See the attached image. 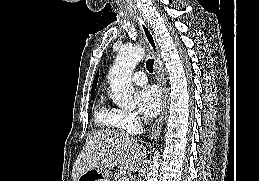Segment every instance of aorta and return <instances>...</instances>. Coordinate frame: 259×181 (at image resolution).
I'll return each instance as SVG.
<instances>
[{
	"instance_id": "1",
	"label": "aorta",
	"mask_w": 259,
	"mask_h": 181,
	"mask_svg": "<svg viewBox=\"0 0 259 181\" xmlns=\"http://www.w3.org/2000/svg\"><path fill=\"white\" fill-rule=\"evenodd\" d=\"M144 55L145 50L141 46L122 47L119 50L115 63L109 71L110 97L118 107L124 109H133L135 107L131 77L136 65ZM160 165V153L155 151L147 170L146 181H158Z\"/></svg>"
}]
</instances>
